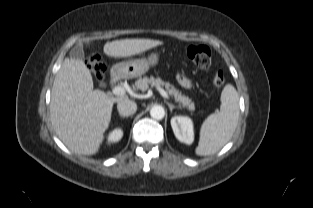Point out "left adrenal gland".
Returning a JSON list of instances; mask_svg holds the SVG:
<instances>
[{
	"label": "left adrenal gland",
	"instance_id": "left-adrenal-gland-1",
	"mask_svg": "<svg viewBox=\"0 0 313 208\" xmlns=\"http://www.w3.org/2000/svg\"><path fill=\"white\" fill-rule=\"evenodd\" d=\"M167 105H168V107H169L171 113H172V111H173L174 108H180V106H175V105H173V104H170L169 102H167Z\"/></svg>",
	"mask_w": 313,
	"mask_h": 208
}]
</instances>
